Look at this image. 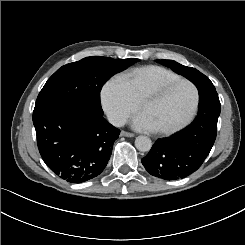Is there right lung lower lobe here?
Segmentation results:
<instances>
[{
    "label": "right lung lower lobe",
    "instance_id": "1",
    "mask_svg": "<svg viewBox=\"0 0 245 245\" xmlns=\"http://www.w3.org/2000/svg\"><path fill=\"white\" fill-rule=\"evenodd\" d=\"M33 123L45 164L71 183H82L101 174L120 133L102 116L71 103L36 107Z\"/></svg>",
    "mask_w": 245,
    "mask_h": 245
}]
</instances>
